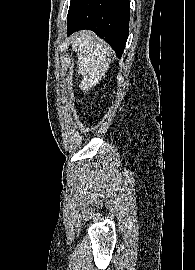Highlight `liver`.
<instances>
[{"instance_id": "6515ba94", "label": "liver", "mask_w": 195, "mask_h": 270, "mask_svg": "<svg viewBox=\"0 0 195 270\" xmlns=\"http://www.w3.org/2000/svg\"><path fill=\"white\" fill-rule=\"evenodd\" d=\"M72 50L77 53V73L83 76L79 88L86 92L93 89L109 69V45L90 31H79L71 36Z\"/></svg>"}]
</instances>
